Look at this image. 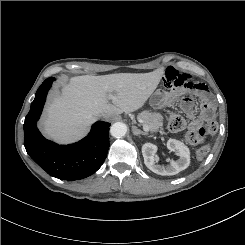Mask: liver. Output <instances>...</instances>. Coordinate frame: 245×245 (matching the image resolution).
Masks as SVG:
<instances>
[{
  "label": "liver",
  "mask_w": 245,
  "mask_h": 245,
  "mask_svg": "<svg viewBox=\"0 0 245 245\" xmlns=\"http://www.w3.org/2000/svg\"><path fill=\"white\" fill-rule=\"evenodd\" d=\"M163 68L149 73L72 77L55 95L43 120L45 134L61 143L83 137L101 114L105 119L140 109L157 88Z\"/></svg>",
  "instance_id": "obj_1"
}]
</instances>
